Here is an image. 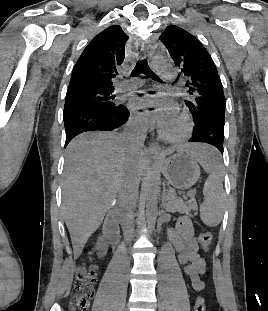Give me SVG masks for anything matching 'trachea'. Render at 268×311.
I'll return each instance as SVG.
<instances>
[{
  "instance_id": "3493384b",
  "label": "trachea",
  "mask_w": 268,
  "mask_h": 311,
  "mask_svg": "<svg viewBox=\"0 0 268 311\" xmlns=\"http://www.w3.org/2000/svg\"><path fill=\"white\" fill-rule=\"evenodd\" d=\"M141 73L145 74L149 78L155 80V81H161V79L150 69L148 66L147 60H139L136 63L135 68L133 69L131 76L132 77H137Z\"/></svg>"
}]
</instances>
